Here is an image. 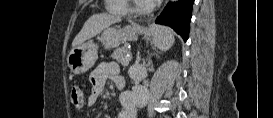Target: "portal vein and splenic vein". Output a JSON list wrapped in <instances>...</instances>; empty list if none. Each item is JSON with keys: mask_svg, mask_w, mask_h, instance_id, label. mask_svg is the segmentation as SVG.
<instances>
[{"mask_svg": "<svg viewBox=\"0 0 273 118\" xmlns=\"http://www.w3.org/2000/svg\"><path fill=\"white\" fill-rule=\"evenodd\" d=\"M129 60L131 59V57H130V55H129V58H128Z\"/></svg>", "mask_w": 273, "mask_h": 118, "instance_id": "1", "label": "portal vein and splenic vein"}]
</instances>
